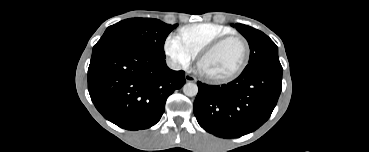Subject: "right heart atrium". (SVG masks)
Here are the masks:
<instances>
[{"mask_svg":"<svg viewBox=\"0 0 369 152\" xmlns=\"http://www.w3.org/2000/svg\"><path fill=\"white\" fill-rule=\"evenodd\" d=\"M164 51L172 63L186 70L195 61L197 54L183 41L180 34H170L165 40Z\"/></svg>","mask_w":369,"mask_h":152,"instance_id":"d8ad5b80","label":"right heart atrium"}]
</instances>
